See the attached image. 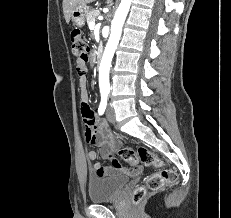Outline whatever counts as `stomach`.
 Returning <instances> with one entry per match:
<instances>
[{"label": "stomach", "instance_id": "0dacf381", "mask_svg": "<svg viewBox=\"0 0 231 218\" xmlns=\"http://www.w3.org/2000/svg\"><path fill=\"white\" fill-rule=\"evenodd\" d=\"M89 8L87 6L79 5L71 13V19L75 26L82 27L85 23V18Z\"/></svg>", "mask_w": 231, "mask_h": 218}]
</instances>
